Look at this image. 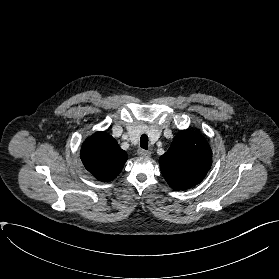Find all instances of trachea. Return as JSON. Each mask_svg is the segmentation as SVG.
I'll return each instance as SVG.
<instances>
[{
	"label": "trachea",
	"instance_id": "3493384b",
	"mask_svg": "<svg viewBox=\"0 0 279 279\" xmlns=\"http://www.w3.org/2000/svg\"><path fill=\"white\" fill-rule=\"evenodd\" d=\"M140 146L143 149H148V136L147 135H142L140 138Z\"/></svg>",
	"mask_w": 279,
	"mask_h": 279
}]
</instances>
